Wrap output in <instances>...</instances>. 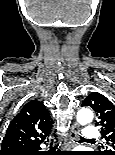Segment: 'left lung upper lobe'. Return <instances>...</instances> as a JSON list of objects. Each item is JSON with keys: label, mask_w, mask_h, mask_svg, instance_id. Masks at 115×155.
<instances>
[{"label": "left lung upper lobe", "mask_w": 115, "mask_h": 155, "mask_svg": "<svg viewBox=\"0 0 115 155\" xmlns=\"http://www.w3.org/2000/svg\"><path fill=\"white\" fill-rule=\"evenodd\" d=\"M82 106H90L98 116L97 126H101L102 138L106 148L96 151L93 155H115V106L102 94L93 92L88 95Z\"/></svg>", "instance_id": "left-lung-upper-lobe-1"}]
</instances>
